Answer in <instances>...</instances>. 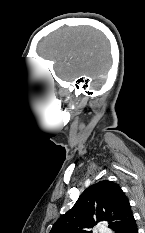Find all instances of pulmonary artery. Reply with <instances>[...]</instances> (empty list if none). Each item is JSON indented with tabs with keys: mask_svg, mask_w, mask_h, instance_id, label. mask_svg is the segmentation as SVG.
<instances>
[{
	"mask_svg": "<svg viewBox=\"0 0 145 233\" xmlns=\"http://www.w3.org/2000/svg\"><path fill=\"white\" fill-rule=\"evenodd\" d=\"M98 233H110V231L107 230L105 226L102 224L98 229Z\"/></svg>",
	"mask_w": 145,
	"mask_h": 233,
	"instance_id": "obj_1",
	"label": "pulmonary artery"
}]
</instances>
